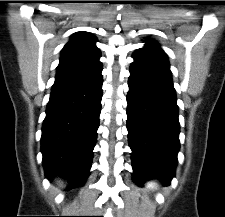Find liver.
Here are the masks:
<instances>
[{"mask_svg": "<svg viewBox=\"0 0 225 217\" xmlns=\"http://www.w3.org/2000/svg\"><path fill=\"white\" fill-rule=\"evenodd\" d=\"M59 186L60 187H63L64 185H63V182H59Z\"/></svg>", "mask_w": 225, "mask_h": 217, "instance_id": "obj_1", "label": "liver"}]
</instances>
